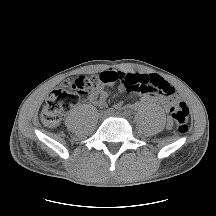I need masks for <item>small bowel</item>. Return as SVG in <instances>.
Segmentation results:
<instances>
[{"label":"small bowel","instance_id":"small-bowel-1","mask_svg":"<svg viewBox=\"0 0 216 216\" xmlns=\"http://www.w3.org/2000/svg\"><path fill=\"white\" fill-rule=\"evenodd\" d=\"M101 80L103 83L108 85L116 83L120 92L130 96L139 94L140 102L132 105L133 108H138L142 104L148 103H159L165 108L169 107L170 105V101L166 96H163L158 92L150 91V86H157V82H166L158 75L106 71L101 74ZM107 99L108 92L103 87L99 88L98 91L89 98L90 102L98 105H103ZM116 106L117 108L121 109L124 107V103L119 101Z\"/></svg>","mask_w":216,"mask_h":216}]
</instances>
